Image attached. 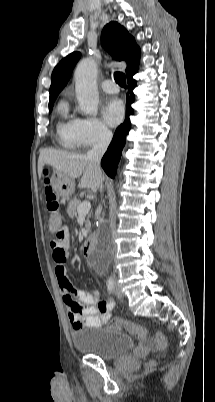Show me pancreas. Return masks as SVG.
<instances>
[{"label": "pancreas", "mask_w": 215, "mask_h": 402, "mask_svg": "<svg viewBox=\"0 0 215 402\" xmlns=\"http://www.w3.org/2000/svg\"><path fill=\"white\" fill-rule=\"evenodd\" d=\"M80 203H81L80 200H78L76 198L69 201L68 207H67V213H68L69 217L73 218V217L77 216V207L80 205ZM85 227H86L87 232H90L91 224L89 221V216L86 221Z\"/></svg>", "instance_id": "cf45deb5"}]
</instances>
